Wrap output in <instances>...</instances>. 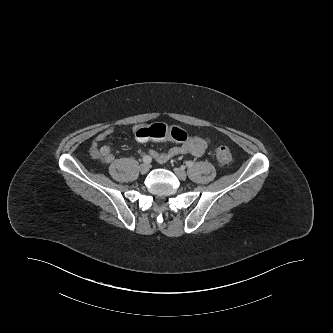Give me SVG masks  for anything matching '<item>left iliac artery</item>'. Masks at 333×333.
Listing matches in <instances>:
<instances>
[{"mask_svg": "<svg viewBox=\"0 0 333 333\" xmlns=\"http://www.w3.org/2000/svg\"><path fill=\"white\" fill-rule=\"evenodd\" d=\"M194 165L193 161H187L186 166L187 167H192Z\"/></svg>", "mask_w": 333, "mask_h": 333, "instance_id": "obj_1", "label": "left iliac artery"}]
</instances>
